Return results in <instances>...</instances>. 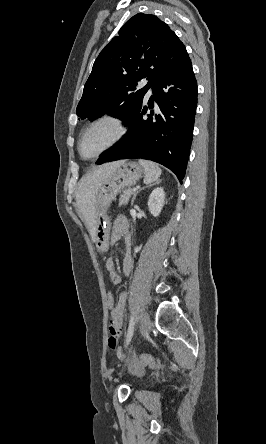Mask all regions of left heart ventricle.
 Returning a JSON list of instances; mask_svg holds the SVG:
<instances>
[{"label": "left heart ventricle", "instance_id": "left-heart-ventricle-1", "mask_svg": "<svg viewBox=\"0 0 266 444\" xmlns=\"http://www.w3.org/2000/svg\"><path fill=\"white\" fill-rule=\"evenodd\" d=\"M114 128L102 123L88 131L82 141V150L86 156H92L103 149L113 138Z\"/></svg>", "mask_w": 266, "mask_h": 444}]
</instances>
